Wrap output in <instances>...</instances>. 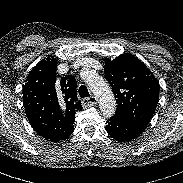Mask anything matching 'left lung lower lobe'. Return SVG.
Masks as SVG:
<instances>
[{
	"label": "left lung lower lobe",
	"mask_w": 183,
	"mask_h": 183,
	"mask_svg": "<svg viewBox=\"0 0 183 183\" xmlns=\"http://www.w3.org/2000/svg\"><path fill=\"white\" fill-rule=\"evenodd\" d=\"M106 131L114 139L120 142L130 141L138 137L146 128L140 123L131 122L117 117H111L107 121Z\"/></svg>",
	"instance_id": "0a47b994"
}]
</instances>
